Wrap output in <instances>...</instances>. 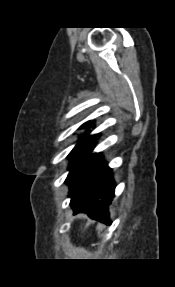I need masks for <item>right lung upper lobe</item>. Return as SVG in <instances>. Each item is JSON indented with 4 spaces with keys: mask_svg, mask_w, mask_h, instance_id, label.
Segmentation results:
<instances>
[{
    "mask_svg": "<svg viewBox=\"0 0 175 287\" xmlns=\"http://www.w3.org/2000/svg\"><path fill=\"white\" fill-rule=\"evenodd\" d=\"M90 125H91V123H90V122H87V123L83 124V126H82V127L90 126Z\"/></svg>",
    "mask_w": 175,
    "mask_h": 287,
    "instance_id": "cb5924a9",
    "label": "right lung upper lobe"
}]
</instances>
